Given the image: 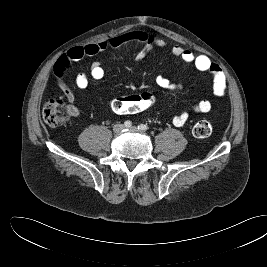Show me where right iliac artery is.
I'll return each mask as SVG.
<instances>
[{
    "label": "right iliac artery",
    "mask_w": 267,
    "mask_h": 267,
    "mask_svg": "<svg viewBox=\"0 0 267 267\" xmlns=\"http://www.w3.org/2000/svg\"><path fill=\"white\" fill-rule=\"evenodd\" d=\"M125 127L130 128L132 126V122L127 120L124 122Z\"/></svg>",
    "instance_id": "1"
}]
</instances>
